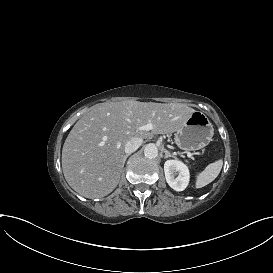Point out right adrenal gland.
Returning a JSON list of instances; mask_svg holds the SVG:
<instances>
[{
	"label": "right adrenal gland",
	"mask_w": 273,
	"mask_h": 273,
	"mask_svg": "<svg viewBox=\"0 0 273 273\" xmlns=\"http://www.w3.org/2000/svg\"><path fill=\"white\" fill-rule=\"evenodd\" d=\"M130 155H131V154H126V155L124 156V163H125L126 159H127Z\"/></svg>",
	"instance_id": "obj_1"
}]
</instances>
